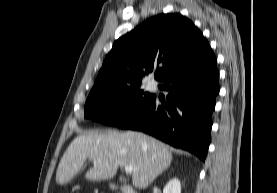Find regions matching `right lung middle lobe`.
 Here are the masks:
<instances>
[{
	"instance_id": "dd1d6c3e",
	"label": "right lung middle lobe",
	"mask_w": 277,
	"mask_h": 193,
	"mask_svg": "<svg viewBox=\"0 0 277 193\" xmlns=\"http://www.w3.org/2000/svg\"><path fill=\"white\" fill-rule=\"evenodd\" d=\"M152 96L144 92L140 85L92 93L86 100L84 117L103 124L118 126L144 106Z\"/></svg>"
}]
</instances>
